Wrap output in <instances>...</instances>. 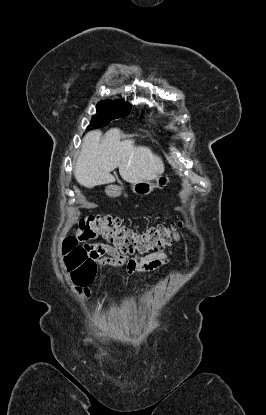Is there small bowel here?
I'll use <instances>...</instances> for the list:
<instances>
[{
    "mask_svg": "<svg viewBox=\"0 0 266 415\" xmlns=\"http://www.w3.org/2000/svg\"><path fill=\"white\" fill-rule=\"evenodd\" d=\"M88 247L98 264L124 266L131 275L142 272H155L170 261L168 254L163 250L155 251L145 256L136 255L129 257L106 243L90 244ZM82 296L85 299L91 297L89 286L82 288Z\"/></svg>",
    "mask_w": 266,
    "mask_h": 415,
    "instance_id": "obj_1",
    "label": "small bowel"
}]
</instances>
